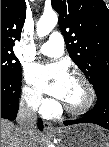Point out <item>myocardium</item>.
Returning <instances> with one entry per match:
<instances>
[{
    "label": "myocardium",
    "instance_id": "obj_1",
    "mask_svg": "<svg viewBox=\"0 0 109 147\" xmlns=\"http://www.w3.org/2000/svg\"><path fill=\"white\" fill-rule=\"evenodd\" d=\"M71 78L79 79L80 81L84 83V85L86 86L89 92V98H88V101L79 108H72L68 106L64 101H62V109L71 115H81V114L88 112L94 105L96 101V91L91 81L84 74L79 73V72H74L71 75Z\"/></svg>",
    "mask_w": 109,
    "mask_h": 147
}]
</instances>
